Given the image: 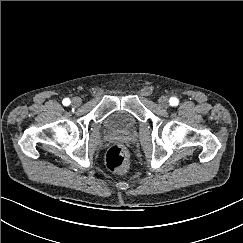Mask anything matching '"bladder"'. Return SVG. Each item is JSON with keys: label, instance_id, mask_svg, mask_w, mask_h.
<instances>
[{"label": "bladder", "instance_id": "obj_1", "mask_svg": "<svg viewBox=\"0 0 243 243\" xmlns=\"http://www.w3.org/2000/svg\"><path fill=\"white\" fill-rule=\"evenodd\" d=\"M105 126L113 132H127L135 126V120L129 114L117 111L106 118Z\"/></svg>", "mask_w": 243, "mask_h": 243}]
</instances>
